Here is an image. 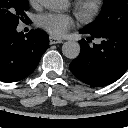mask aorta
<instances>
[{"label":"aorta","mask_w":128,"mask_h":128,"mask_svg":"<svg viewBox=\"0 0 128 128\" xmlns=\"http://www.w3.org/2000/svg\"><path fill=\"white\" fill-rule=\"evenodd\" d=\"M40 3L47 9H62L66 7L67 0H40ZM62 53L69 59H75L80 54V45L74 40L64 42Z\"/></svg>","instance_id":"obj_1"}]
</instances>
